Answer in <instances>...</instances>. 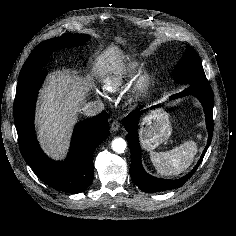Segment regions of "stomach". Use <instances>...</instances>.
Segmentation results:
<instances>
[{
	"label": "stomach",
	"instance_id": "stomach-1",
	"mask_svg": "<svg viewBox=\"0 0 236 236\" xmlns=\"http://www.w3.org/2000/svg\"><path fill=\"white\" fill-rule=\"evenodd\" d=\"M172 133L169 114L164 110L153 111L145 118L140 129V142L145 150H153L166 142Z\"/></svg>",
	"mask_w": 236,
	"mask_h": 236
}]
</instances>
